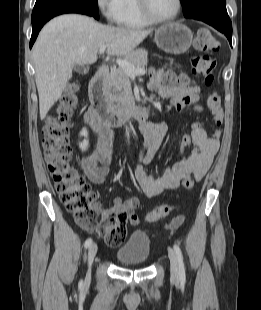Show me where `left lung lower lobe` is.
<instances>
[{"mask_svg":"<svg viewBox=\"0 0 261 310\" xmlns=\"http://www.w3.org/2000/svg\"><path fill=\"white\" fill-rule=\"evenodd\" d=\"M196 20L203 21L218 31L224 33L232 45V24L227 13H220L214 16L199 17Z\"/></svg>","mask_w":261,"mask_h":310,"instance_id":"1","label":"left lung lower lobe"}]
</instances>
